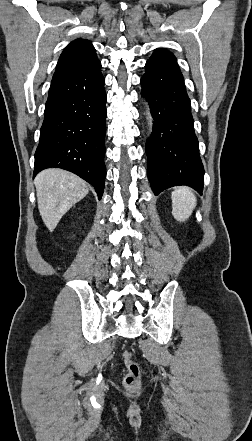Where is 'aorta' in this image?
I'll list each match as a JSON object with an SVG mask.
<instances>
[{
    "label": "aorta",
    "instance_id": "1",
    "mask_svg": "<svg viewBox=\"0 0 252 441\" xmlns=\"http://www.w3.org/2000/svg\"><path fill=\"white\" fill-rule=\"evenodd\" d=\"M146 115H147V119H148L149 125L151 126L153 120H152V116L150 114L149 109L146 111Z\"/></svg>",
    "mask_w": 252,
    "mask_h": 441
}]
</instances>
